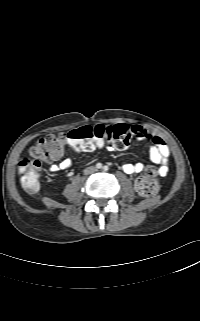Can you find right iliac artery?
Returning <instances> with one entry per match:
<instances>
[{"instance_id": "82829eb1", "label": "right iliac artery", "mask_w": 200, "mask_h": 321, "mask_svg": "<svg viewBox=\"0 0 200 321\" xmlns=\"http://www.w3.org/2000/svg\"><path fill=\"white\" fill-rule=\"evenodd\" d=\"M96 168L101 169L102 168V164L101 163H97L96 164Z\"/></svg>"}]
</instances>
